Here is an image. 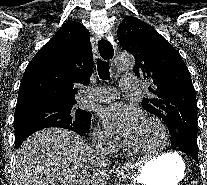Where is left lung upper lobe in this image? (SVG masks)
Instances as JSON below:
<instances>
[{"mask_svg":"<svg viewBox=\"0 0 207 185\" xmlns=\"http://www.w3.org/2000/svg\"><path fill=\"white\" fill-rule=\"evenodd\" d=\"M118 39L134 55V73L152 84L143 108L164 121L174 149L198 153L195 89L179 52L152 26L133 16L119 25Z\"/></svg>","mask_w":207,"mask_h":185,"instance_id":"5c2ea615","label":"left lung upper lobe"}]
</instances>
